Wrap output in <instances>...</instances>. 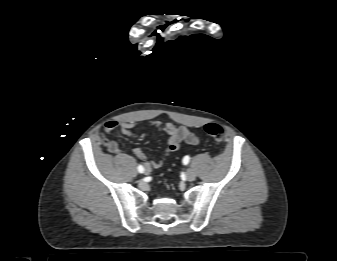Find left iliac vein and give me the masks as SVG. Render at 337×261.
<instances>
[{
  "label": "left iliac vein",
  "mask_w": 337,
  "mask_h": 261,
  "mask_svg": "<svg viewBox=\"0 0 337 261\" xmlns=\"http://www.w3.org/2000/svg\"><path fill=\"white\" fill-rule=\"evenodd\" d=\"M186 178L189 181H194L195 180L196 173L194 172L193 169H191V168L187 169V171H186Z\"/></svg>",
  "instance_id": "1"
}]
</instances>
